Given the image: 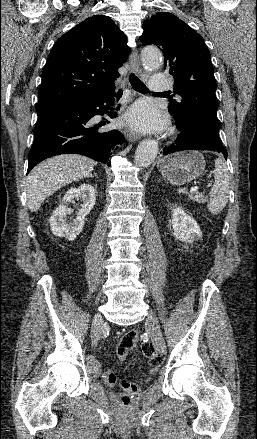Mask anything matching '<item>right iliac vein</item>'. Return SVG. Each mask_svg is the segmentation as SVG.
<instances>
[{
    "mask_svg": "<svg viewBox=\"0 0 257 439\" xmlns=\"http://www.w3.org/2000/svg\"><path fill=\"white\" fill-rule=\"evenodd\" d=\"M102 325H103V318H102V316L100 314H96L94 316L93 326H92L93 345L94 346H96L98 341H99Z\"/></svg>",
    "mask_w": 257,
    "mask_h": 439,
    "instance_id": "63e3f726",
    "label": "right iliac vein"
}]
</instances>
